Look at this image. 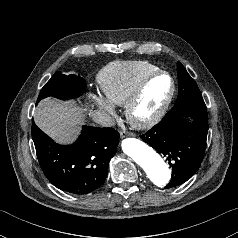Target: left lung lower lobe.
I'll return each mask as SVG.
<instances>
[{"label":"left lung lower lobe","mask_w":238,"mask_h":238,"mask_svg":"<svg viewBox=\"0 0 238 238\" xmlns=\"http://www.w3.org/2000/svg\"><path fill=\"white\" fill-rule=\"evenodd\" d=\"M208 133L207 110L169 112L140 137L166 158L172 176L165 188L190 179L203 160Z\"/></svg>","instance_id":"0a47b994"}]
</instances>
